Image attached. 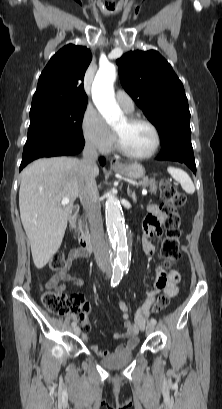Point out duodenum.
Wrapping results in <instances>:
<instances>
[{"label": "duodenum", "instance_id": "duodenum-1", "mask_svg": "<svg viewBox=\"0 0 222 409\" xmlns=\"http://www.w3.org/2000/svg\"><path fill=\"white\" fill-rule=\"evenodd\" d=\"M79 211L78 205L71 207L68 215V226L70 231L77 236L82 251L88 255L92 252L93 242L88 234L81 233L79 230Z\"/></svg>", "mask_w": 222, "mask_h": 409}]
</instances>
